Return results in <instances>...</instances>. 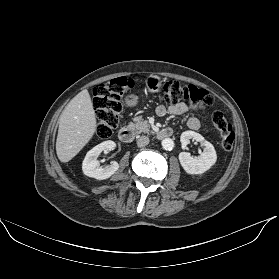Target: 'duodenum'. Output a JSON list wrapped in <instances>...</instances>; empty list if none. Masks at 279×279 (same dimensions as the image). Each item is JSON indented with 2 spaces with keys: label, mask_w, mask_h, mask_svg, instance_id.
<instances>
[{
  "label": "duodenum",
  "mask_w": 279,
  "mask_h": 279,
  "mask_svg": "<svg viewBox=\"0 0 279 279\" xmlns=\"http://www.w3.org/2000/svg\"><path fill=\"white\" fill-rule=\"evenodd\" d=\"M173 134H174V132L171 128H164V129L160 130L159 132H157L156 138L158 140H163V139L172 137ZM134 137H135L134 131L129 127H122L118 131V138L124 143L132 142Z\"/></svg>",
  "instance_id": "obj_1"
}]
</instances>
